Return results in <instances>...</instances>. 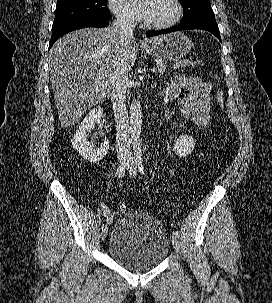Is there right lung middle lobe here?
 <instances>
[{"label":"right lung middle lobe","mask_w":272,"mask_h":303,"mask_svg":"<svg viewBox=\"0 0 272 303\" xmlns=\"http://www.w3.org/2000/svg\"><path fill=\"white\" fill-rule=\"evenodd\" d=\"M83 18L110 19L107 0H57L52 27Z\"/></svg>","instance_id":"dd1d6c3e"}]
</instances>
